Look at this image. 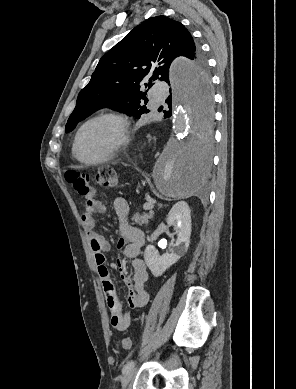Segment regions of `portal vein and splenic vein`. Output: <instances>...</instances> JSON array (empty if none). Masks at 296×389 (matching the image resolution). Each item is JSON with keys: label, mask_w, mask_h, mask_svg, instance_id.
<instances>
[{"label": "portal vein and splenic vein", "mask_w": 296, "mask_h": 389, "mask_svg": "<svg viewBox=\"0 0 296 389\" xmlns=\"http://www.w3.org/2000/svg\"><path fill=\"white\" fill-rule=\"evenodd\" d=\"M155 202H156L155 200L149 199L148 202L145 203L144 206H143L144 210H150V209H152Z\"/></svg>", "instance_id": "1"}]
</instances>
